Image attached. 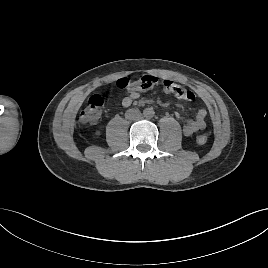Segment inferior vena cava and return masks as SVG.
<instances>
[{
	"mask_svg": "<svg viewBox=\"0 0 268 268\" xmlns=\"http://www.w3.org/2000/svg\"><path fill=\"white\" fill-rule=\"evenodd\" d=\"M141 117V113L138 110H127L125 118L129 120H138Z\"/></svg>",
	"mask_w": 268,
	"mask_h": 268,
	"instance_id": "obj_1",
	"label": "inferior vena cava"
}]
</instances>
